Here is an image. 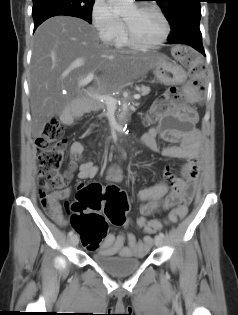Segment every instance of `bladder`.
Instances as JSON below:
<instances>
[{
	"instance_id": "1",
	"label": "bladder",
	"mask_w": 238,
	"mask_h": 315,
	"mask_svg": "<svg viewBox=\"0 0 238 315\" xmlns=\"http://www.w3.org/2000/svg\"><path fill=\"white\" fill-rule=\"evenodd\" d=\"M93 262L105 272L114 276H125L137 270L143 259L122 256H107L100 253L92 255Z\"/></svg>"
}]
</instances>
